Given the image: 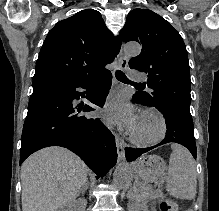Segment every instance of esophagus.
<instances>
[{
	"instance_id": "obj_1",
	"label": "esophagus",
	"mask_w": 219,
	"mask_h": 211,
	"mask_svg": "<svg viewBox=\"0 0 219 211\" xmlns=\"http://www.w3.org/2000/svg\"><path fill=\"white\" fill-rule=\"evenodd\" d=\"M127 65H128V58L123 53V45H122L117 69L126 70ZM115 138H116L115 141L117 146L118 160L121 161L125 158L124 145L122 140L116 134H115Z\"/></svg>"
}]
</instances>
